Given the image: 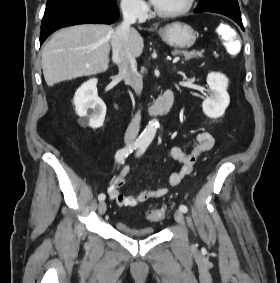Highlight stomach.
<instances>
[{
  "instance_id": "1",
  "label": "stomach",
  "mask_w": 280,
  "mask_h": 283,
  "mask_svg": "<svg viewBox=\"0 0 280 283\" xmlns=\"http://www.w3.org/2000/svg\"><path fill=\"white\" fill-rule=\"evenodd\" d=\"M158 33L168 45L182 49L191 47L197 39L196 31L190 25L181 22L166 25L160 28Z\"/></svg>"
}]
</instances>
